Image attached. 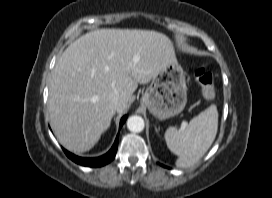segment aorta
Here are the masks:
<instances>
[{
  "mask_svg": "<svg viewBox=\"0 0 272 198\" xmlns=\"http://www.w3.org/2000/svg\"><path fill=\"white\" fill-rule=\"evenodd\" d=\"M127 128L131 132H141L144 129V120L142 117L134 115L127 120Z\"/></svg>",
  "mask_w": 272,
  "mask_h": 198,
  "instance_id": "1",
  "label": "aorta"
}]
</instances>
